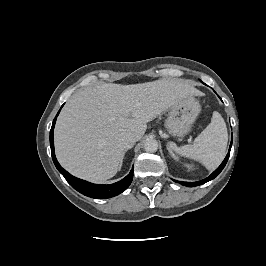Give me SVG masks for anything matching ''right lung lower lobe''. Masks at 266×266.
Here are the masks:
<instances>
[{"label":"right lung lower lobe","mask_w":266,"mask_h":266,"mask_svg":"<svg viewBox=\"0 0 266 266\" xmlns=\"http://www.w3.org/2000/svg\"><path fill=\"white\" fill-rule=\"evenodd\" d=\"M60 112V111H59ZM57 113L51 130H50V146H51V154L53 162L58 169V171L64 176V178L67 180V182L78 192L82 193L83 195H86L91 198L96 199H102V198H111L114 197L123 191H125L129 185L132 182L133 179V169L130 171V173L122 180L110 184V185H99V184H93L87 181H84L82 179L76 178L72 176L70 173L65 171L60 164L58 163L55 153H54V127L56 118L59 114Z\"/></svg>","instance_id":"1"}]
</instances>
